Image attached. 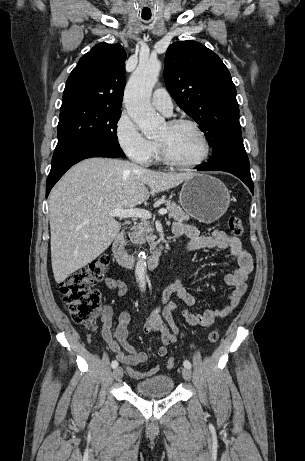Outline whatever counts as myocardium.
<instances>
[{
    "label": "myocardium",
    "mask_w": 305,
    "mask_h": 461,
    "mask_svg": "<svg viewBox=\"0 0 305 461\" xmlns=\"http://www.w3.org/2000/svg\"><path fill=\"white\" fill-rule=\"evenodd\" d=\"M168 125L171 126V127H178V126H181V125H189L192 128H194L196 130V132L199 134V136H200V138L202 140L203 153L197 160H195L193 162H181V161L176 160L169 153L166 145L163 142L158 141L159 151H160V155H161L162 160L164 162H166L167 164L171 165V166H174V167H177V168H183V169L196 168V167L200 166L201 164H203L207 160V158L209 157V154H210V142H209V139L207 137V134L202 129V127L196 121L191 120V119H187V118H177V119L170 120L168 122Z\"/></svg>",
    "instance_id": "myocardium-1"
}]
</instances>
